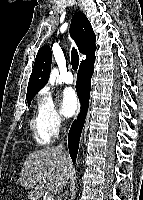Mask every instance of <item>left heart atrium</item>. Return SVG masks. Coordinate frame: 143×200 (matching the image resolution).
I'll use <instances>...</instances> for the list:
<instances>
[{"instance_id": "1", "label": "left heart atrium", "mask_w": 143, "mask_h": 200, "mask_svg": "<svg viewBox=\"0 0 143 200\" xmlns=\"http://www.w3.org/2000/svg\"><path fill=\"white\" fill-rule=\"evenodd\" d=\"M78 108V98L72 88H66L62 93L61 110L64 116L71 117Z\"/></svg>"}]
</instances>
